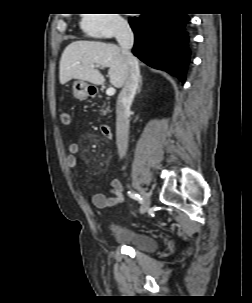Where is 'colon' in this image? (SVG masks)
I'll return each mask as SVG.
<instances>
[{
	"instance_id": "1",
	"label": "colon",
	"mask_w": 252,
	"mask_h": 303,
	"mask_svg": "<svg viewBox=\"0 0 252 303\" xmlns=\"http://www.w3.org/2000/svg\"><path fill=\"white\" fill-rule=\"evenodd\" d=\"M60 119H61V123L63 125H70L71 124V115L67 111L61 112Z\"/></svg>"
}]
</instances>
